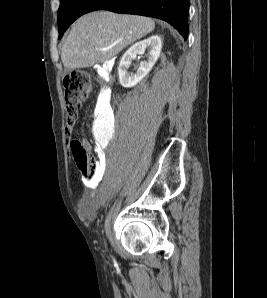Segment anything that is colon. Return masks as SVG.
<instances>
[{"instance_id":"5ec220e1","label":"colon","mask_w":267,"mask_h":298,"mask_svg":"<svg viewBox=\"0 0 267 298\" xmlns=\"http://www.w3.org/2000/svg\"><path fill=\"white\" fill-rule=\"evenodd\" d=\"M90 89L89 75L84 71H75L64 78V93L67 112V129L76 122L79 110ZM71 154L75 164L87 180H92L96 174L97 160L87 150L80 140L70 144Z\"/></svg>"}]
</instances>
